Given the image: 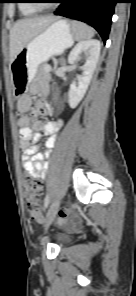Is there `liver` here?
<instances>
[{"label":"liver","instance_id":"6515ba94","mask_svg":"<svg viewBox=\"0 0 136 296\" xmlns=\"http://www.w3.org/2000/svg\"><path fill=\"white\" fill-rule=\"evenodd\" d=\"M57 19L53 16H44L17 21L10 30V61L12 62L25 45Z\"/></svg>","mask_w":136,"mask_h":296}]
</instances>
